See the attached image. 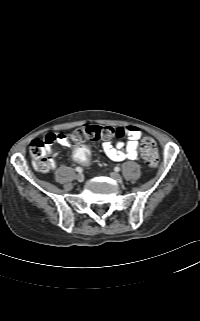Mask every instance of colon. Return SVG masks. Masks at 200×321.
<instances>
[{
	"mask_svg": "<svg viewBox=\"0 0 200 321\" xmlns=\"http://www.w3.org/2000/svg\"><path fill=\"white\" fill-rule=\"evenodd\" d=\"M122 131L108 126L85 125L73 130L68 136L70 142L74 144L71 150V163L79 166L87 164L90 159V150L87 145L78 144L86 140L108 139L111 137H121ZM53 135L45 136L44 139H35L30 144V155L34 166L38 171L47 172L51 169V160L47 157V146L54 140ZM77 144V145H76ZM140 154L145 164L149 168H154L158 163V150L155 142L150 138H145L141 142Z\"/></svg>",
	"mask_w": 200,
	"mask_h": 321,
	"instance_id": "1",
	"label": "colon"
}]
</instances>
